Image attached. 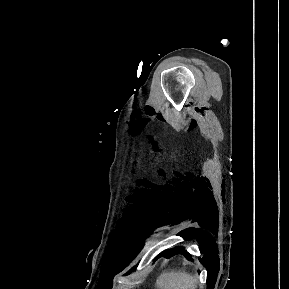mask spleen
I'll list each match as a JSON object with an SVG mask.
<instances>
[{
  "mask_svg": "<svg viewBox=\"0 0 289 289\" xmlns=\"http://www.w3.org/2000/svg\"><path fill=\"white\" fill-rule=\"evenodd\" d=\"M196 278L185 271L170 270L162 272L156 280V289H196Z\"/></svg>",
  "mask_w": 289,
  "mask_h": 289,
  "instance_id": "spleen-1",
  "label": "spleen"
}]
</instances>
